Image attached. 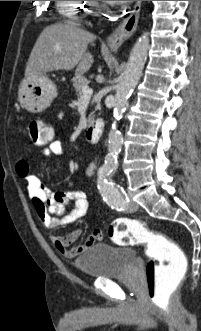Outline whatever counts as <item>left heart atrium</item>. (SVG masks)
Wrapping results in <instances>:
<instances>
[{
	"mask_svg": "<svg viewBox=\"0 0 201 331\" xmlns=\"http://www.w3.org/2000/svg\"><path fill=\"white\" fill-rule=\"evenodd\" d=\"M106 2L113 5H123L129 3L130 1H106Z\"/></svg>",
	"mask_w": 201,
	"mask_h": 331,
	"instance_id": "39dd6f15",
	"label": "left heart atrium"
}]
</instances>
